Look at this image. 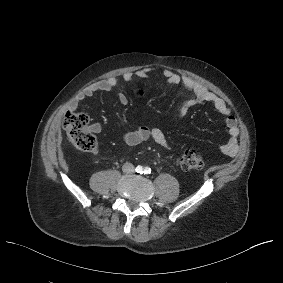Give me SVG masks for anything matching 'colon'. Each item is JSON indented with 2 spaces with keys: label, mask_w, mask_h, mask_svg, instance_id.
I'll use <instances>...</instances> for the list:
<instances>
[{
  "label": "colon",
  "mask_w": 283,
  "mask_h": 283,
  "mask_svg": "<svg viewBox=\"0 0 283 283\" xmlns=\"http://www.w3.org/2000/svg\"><path fill=\"white\" fill-rule=\"evenodd\" d=\"M88 117L85 113L69 110L64 115L63 126L71 142L80 150L91 151L96 146L93 134L87 129ZM177 165L185 171L200 170L203 159L193 149L182 152L177 158Z\"/></svg>",
  "instance_id": "5ec220e1"
}]
</instances>
